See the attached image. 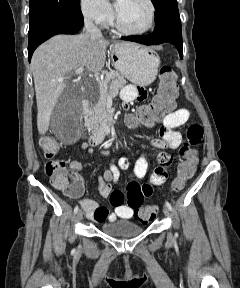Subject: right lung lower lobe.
Listing matches in <instances>:
<instances>
[{
	"mask_svg": "<svg viewBox=\"0 0 240 288\" xmlns=\"http://www.w3.org/2000/svg\"><path fill=\"white\" fill-rule=\"evenodd\" d=\"M83 19L73 20L69 18H54L45 21L36 30L29 34L28 44V58L31 60V56L34 50L44 41L56 34H75L83 26Z\"/></svg>",
	"mask_w": 240,
	"mask_h": 288,
	"instance_id": "obj_1",
	"label": "right lung lower lobe"
}]
</instances>
